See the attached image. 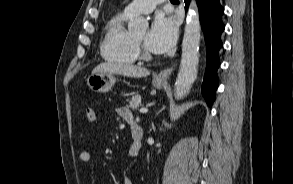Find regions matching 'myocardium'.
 <instances>
[{"label": "myocardium", "mask_w": 293, "mask_h": 184, "mask_svg": "<svg viewBox=\"0 0 293 184\" xmlns=\"http://www.w3.org/2000/svg\"><path fill=\"white\" fill-rule=\"evenodd\" d=\"M133 43L135 46L137 58L143 60V61H150L153 59V55L145 49V47L138 42L135 38H133Z\"/></svg>", "instance_id": "1"}]
</instances>
